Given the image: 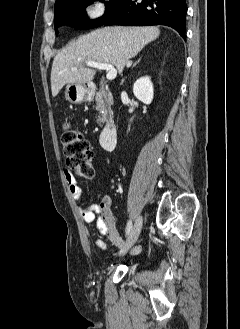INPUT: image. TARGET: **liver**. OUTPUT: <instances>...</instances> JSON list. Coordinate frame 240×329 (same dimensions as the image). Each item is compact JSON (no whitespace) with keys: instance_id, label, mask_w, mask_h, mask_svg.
<instances>
[{"instance_id":"obj_1","label":"liver","mask_w":240,"mask_h":329,"mask_svg":"<svg viewBox=\"0 0 240 329\" xmlns=\"http://www.w3.org/2000/svg\"><path fill=\"white\" fill-rule=\"evenodd\" d=\"M159 35L157 27H105L79 37L53 60L52 96H57L65 84H90L96 72L84 67L88 61L109 63L121 72L126 64L131 65L130 59Z\"/></svg>"}]
</instances>
